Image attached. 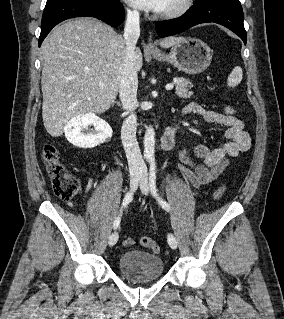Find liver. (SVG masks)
Here are the masks:
<instances>
[{"mask_svg":"<svg viewBox=\"0 0 284 319\" xmlns=\"http://www.w3.org/2000/svg\"><path fill=\"white\" fill-rule=\"evenodd\" d=\"M181 37L162 39L169 48ZM42 118L54 137L63 134L76 115L103 113L114 103L126 60L123 37L109 25L92 18H78L55 27L41 46ZM143 57L135 50L134 67L140 71ZM104 82V87L99 83Z\"/></svg>","mask_w":284,"mask_h":319,"instance_id":"6515ba94","label":"liver"}]
</instances>
